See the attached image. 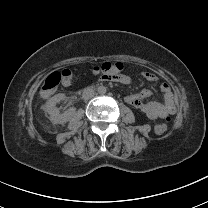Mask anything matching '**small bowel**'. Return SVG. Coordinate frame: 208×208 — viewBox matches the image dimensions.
<instances>
[{
	"label": "small bowel",
	"mask_w": 208,
	"mask_h": 208,
	"mask_svg": "<svg viewBox=\"0 0 208 208\" xmlns=\"http://www.w3.org/2000/svg\"><path fill=\"white\" fill-rule=\"evenodd\" d=\"M142 76L151 82L157 80V77L154 73L151 72H144ZM100 82H121L123 84H129L131 82V77L126 74H113L107 75L102 74L99 76ZM65 86H69L70 84H64ZM160 91L163 95V101H150V102H143V99L149 97L153 94V91L150 89H144L138 93L128 95L125 100L131 106L139 109L147 118L154 120L157 118L165 119L170 115H173L176 112V104L173 98L172 90L167 83H163L160 86Z\"/></svg>",
	"instance_id": "1"
}]
</instances>
